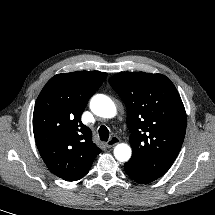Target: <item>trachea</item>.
Here are the masks:
<instances>
[{"instance_id": "3493384b", "label": "trachea", "mask_w": 215, "mask_h": 215, "mask_svg": "<svg viewBox=\"0 0 215 215\" xmlns=\"http://www.w3.org/2000/svg\"><path fill=\"white\" fill-rule=\"evenodd\" d=\"M99 136L102 141H107L109 138V130L106 126H101L99 128Z\"/></svg>"}]
</instances>
